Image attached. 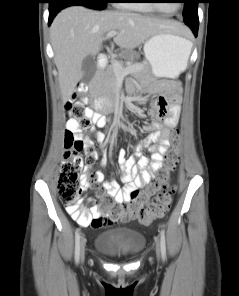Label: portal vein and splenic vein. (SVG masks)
<instances>
[{"mask_svg":"<svg viewBox=\"0 0 239 296\" xmlns=\"http://www.w3.org/2000/svg\"><path fill=\"white\" fill-rule=\"evenodd\" d=\"M118 34L116 31H110L107 33L106 38L114 37ZM112 66L114 68V72L117 76H125L133 72L140 71L142 67L136 65H130L128 67L123 68L121 64L116 60L112 59Z\"/></svg>","mask_w":239,"mask_h":296,"instance_id":"obj_1","label":"portal vein and splenic vein"}]
</instances>
